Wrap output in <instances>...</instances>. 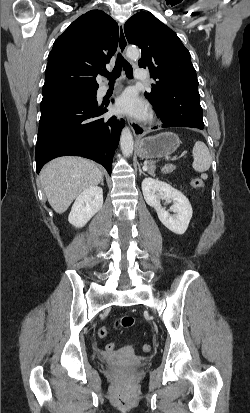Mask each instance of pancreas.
I'll use <instances>...</instances> for the list:
<instances>
[{
  "mask_svg": "<svg viewBox=\"0 0 250 413\" xmlns=\"http://www.w3.org/2000/svg\"><path fill=\"white\" fill-rule=\"evenodd\" d=\"M155 169H156L155 162L154 161L149 162L148 163V173L151 174V175H154ZM173 170H174V167L172 165H167L163 168V173H169Z\"/></svg>",
  "mask_w": 250,
  "mask_h": 413,
  "instance_id": "obj_1",
  "label": "pancreas"
}]
</instances>
